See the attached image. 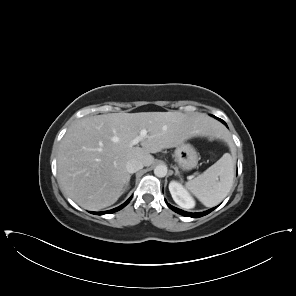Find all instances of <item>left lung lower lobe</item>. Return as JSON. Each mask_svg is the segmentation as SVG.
<instances>
[{
  "label": "left lung lower lobe",
  "instance_id": "0a47b994",
  "mask_svg": "<svg viewBox=\"0 0 296 296\" xmlns=\"http://www.w3.org/2000/svg\"><path fill=\"white\" fill-rule=\"evenodd\" d=\"M167 205H168V207L171 208L173 211H175V212H177V213H179V214H181V215H184V216H187V217H194V218L202 217V216H204V215L210 213L211 211H213V210L215 209V208H212V209H210V210H208V211H204V212H200V213H189V212H185V211H183V210H181V209H178V208H176V207H173V206H171V205L168 204V203H167Z\"/></svg>",
  "mask_w": 296,
  "mask_h": 296
}]
</instances>
